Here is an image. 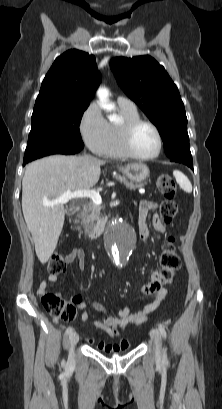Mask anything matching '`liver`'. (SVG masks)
<instances>
[{"mask_svg":"<svg viewBox=\"0 0 222 409\" xmlns=\"http://www.w3.org/2000/svg\"><path fill=\"white\" fill-rule=\"evenodd\" d=\"M106 161L86 156L53 155L26 166L22 180V211L39 261L45 264L56 249L65 220L62 204L46 206L66 191L89 190Z\"/></svg>","mask_w":222,"mask_h":409,"instance_id":"liver-1","label":"liver"}]
</instances>
